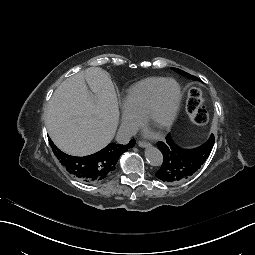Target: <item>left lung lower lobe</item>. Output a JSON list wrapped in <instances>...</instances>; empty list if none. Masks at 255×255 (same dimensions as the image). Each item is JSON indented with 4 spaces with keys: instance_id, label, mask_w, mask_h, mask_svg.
I'll return each instance as SVG.
<instances>
[{
    "instance_id": "1",
    "label": "left lung lower lobe",
    "mask_w": 255,
    "mask_h": 255,
    "mask_svg": "<svg viewBox=\"0 0 255 255\" xmlns=\"http://www.w3.org/2000/svg\"><path fill=\"white\" fill-rule=\"evenodd\" d=\"M217 143L210 139L207 143H194L193 150L185 151L175 144L173 136H168L159 144V151L165 159L158 170L159 179L164 182H179L195 176L196 170L201 168L209 158Z\"/></svg>"
}]
</instances>
